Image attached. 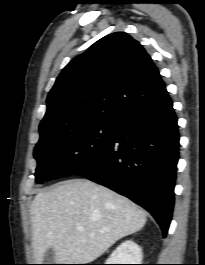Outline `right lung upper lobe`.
I'll return each mask as SVG.
<instances>
[{
    "mask_svg": "<svg viewBox=\"0 0 205 265\" xmlns=\"http://www.w3.org/2000/svg\"><path fill=\"white\" fill-rule=\"evenodd\" d=\"M165 91L159 70L142 45L115 32L62 70L48 94L39 131L62 133L95 122L118 123Z\"/></svg>",
    "mask_w": 205,
    "mask_h": 265,
    "instance_id": "right-lung-upper-lobe-1",
    "label": "right lung upper lobe"
}]
</instances>
